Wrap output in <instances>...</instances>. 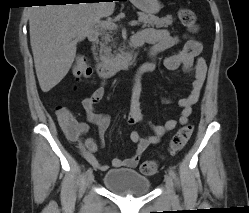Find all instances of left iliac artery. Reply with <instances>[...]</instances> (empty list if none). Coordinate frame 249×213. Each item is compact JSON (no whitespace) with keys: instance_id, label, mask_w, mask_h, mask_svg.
I'll return each mask as SVG.
<instances>
[{"instance_id":"44dca946","label":"left iliac artery","mask_w":249,"mask_h":213,"mask_svg":"<svg viewBox=\"0 0 249 213\" xmlns=\"http://www.w3.org/2000/svg\"><path fill=\"white\" fill-rule=\"evenodd\" d=\"M168 172H169L170 176H172L173 178H175L176 175H175V172H174V170L172 168H170L168 170Z\"/></svg>"}]
</instances>
